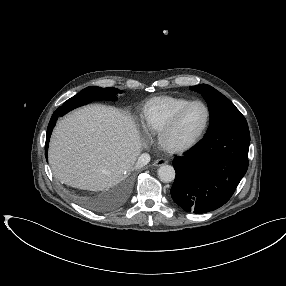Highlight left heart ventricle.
Returning a JSON list of instances; mask_svg holds the SVG:
<instances>
[{"instance_id":"b2bd125f","label":"left heart ventricle","mask_w":286,"mask_h":286,"mask_svg":"<svg viewBox=\"0 0 286 286\" xmlns=\"http://www.w3.org/2000/svg\"><path fill=\"white\" fill-rule=\"evenodd\" d=\"M205 122V108L200 104L193 105L169 133L167 137L168 144L171 146H183L190 143L200 134Z\"/></svg>"}]
</instances>
